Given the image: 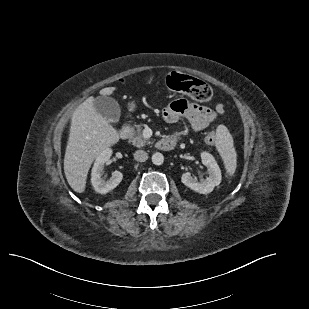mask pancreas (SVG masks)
<instances>
[{
	"label": "pancreas",
	"instance_id": "pancreas-1",
	"mask_svg": "<svg viewBox=\"0 0 309 309\" xmlns=\"http://www.w3.org/2000/svg\"><path fill=\"white\" fill-rule=\"evenodd\" d=\"M131 142L136 147H143L151 143L149 139L143 137L140 125L132 127Z\"/></svg>",
	"mask_w": 309,
	"mask_h": 309
}]
</instances>
